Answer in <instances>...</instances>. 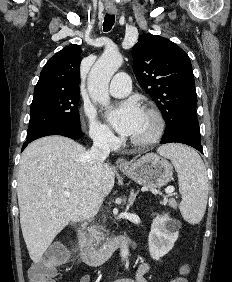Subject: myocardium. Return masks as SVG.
I'll use <instances>...</instances> for the list:
<instances>
[{"mask_svg": "<svg viewBox=\"0 0 232 282\" xmlns=\"http://www.w3.org/2000/svg\"><path fill=\"white\" fill-rule=\"evenodd\" d=\"M145 112L154 120L155 128L151 135L143 139H130V143L137 147H147L160 140L165 131V120L162 113L154 106H146Z\"/></svg>", "mask_w": 232, "mask_h": 282, "instance_id": "myocardium-1", "label": "myocardium"}]
</instances>
